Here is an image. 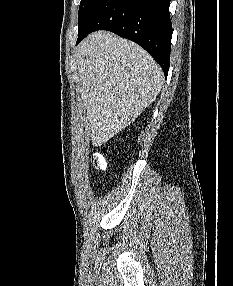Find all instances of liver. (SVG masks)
I'll list each match as a JSON object with an SVG mask.
<instances>
[{
    "label": "liver",
    "mask_w": 233,
    "mask_h": 286,
    "mask_svg": "<svg viewBox=\"0 0 233 286\" xmlns=\"http://www.w3.org/2000/svg\"><path fill=\"white\" fill-rule=\"evenodd\" d=\"M81 98L97 147L128 126L160 93L164 75L139 45L99 31L77 47Z\"/></svg>",
    "instance_id": "1"
}]
</instances>
